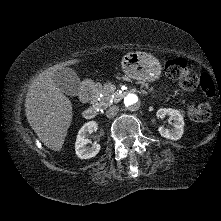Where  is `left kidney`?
Returning a JSON list of instances; mask_svg holds the SVG:
<instances>
[{"mask_svg":"<svg viewBox=\"0 0 221 221\" xmlns=\"http://www.w3.org/2000/svg\"><path fill=\"white\" fill-rule=\"evenodd\" d=\"M170 116L173 120V128L167 129L164 126H160L158 131L164 138L177 141L183 135L184 118L180 111L171 108H161L157 111V117L163 118L164 116Z\"/></svg>","mask_w":221,"mask_h":221,"instance_id":"1","label":"left kidney"}]
</instances>
